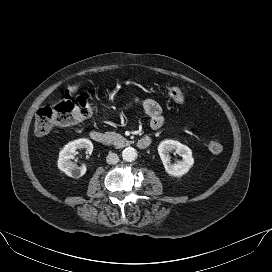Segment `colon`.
I'll return each instance as SVG.
<instances>
[{"instance_id":"colon-1","label":"colon","mask_w":272,"mask_h":272,"mask_svg":"<svg viewBox=\"0 0 272 272\" xmlns=\"http://www.w3.org/2000/svg\"><path fill=\"white\" fill-rule=\"evenodd\" d=\"M170 97L178 103L185 100V93L174 86L167 88ZM92 115V107L86 98L74 97L70 91L64 93L61 102L54 106H43L38 109L34 132L38 136L49 134L55 128H63L76 125ZM208 148L212 153L218 154L223 151V143L218 139H212Z\"/></svg>"}]
</instances>
